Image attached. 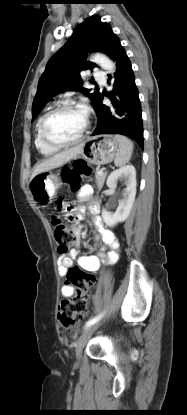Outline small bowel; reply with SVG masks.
I'll list each match as a JSON object with an SVG mask.
<instances>
[{"label":"small bowel","mask_w":187,"mask_h":415,"mask_svg":"<svg viewBox=\"0 0 187 415\" xmlns=\"http://www.w3.org/2000/svg\"><path fill=\"white\" fill-rule=\"evenodd\" d=\"M92 192L93 190L90 185H84L78 191V198L80 200L89 199L92 195ZM89 211L92 216L93 222L96 225L98 235L100 236L104 246L98 255H85V256L79 257V254H80L79 246H80L81 234H80V229L75 227L74 232H75L76 239H77L76 246L72 248L68 254L61 255L58 260L59 262L58 270H59L60 276L62 277H67V273L69 269L72 267L74 260L77 258L79 261V265L84 270L89 271V272H96L99 270L100 264L102 261L105 260L108 263H112L117 257V253L119 249V241L111 231H109L103 226L101 219L99 217V203L97 200L91 201V204L89 206ZM84 213H85V209L83 207H77L75 209L74 215L71 218L75 220L81 219L83 218ZM74 292H75L74 287L69 283H66L61 287V295L63 297H71L73 296Z\"/></svg>","instance_id":"small-bowel-1"}]
</instances>
